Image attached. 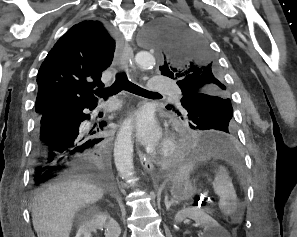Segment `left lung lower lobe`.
<instances>
[{
	"label": "left lung lower lobe",
	"mask_w": 297,
	"mask_h": 237,
	"mask_svg": "<svg viewBox=\"0 0 297 237\" xmlns=\"http://www.w3.org/2000/svg\"><path fill=\"white\" fill-rule=\"evenodd\" d=\"M190 126L196 132L191 134L181 149L179 158L183 161L209 155L232 157L237 154L236 138L226 135L225 130Z\"/></svg>",
	"instance_id": "left-lung-lower-lobe-1"
}]
</instances>
